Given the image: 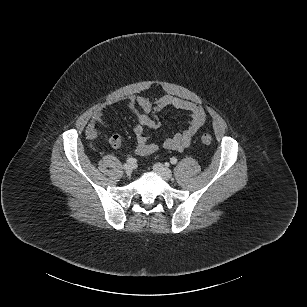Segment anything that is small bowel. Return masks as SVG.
<instances>
[{"label": "small bowel", "mask_w": 307, "mask_h": 307, "mask_svg": "<svg viewBox=\"0 0 307 307\" xmlns=\"http://www.w3.org/2000/svg\"><path fill=\"white\" fill-rule=\"evenodd\" d=\"M126 101L136 117L134 127L136 152L141 156L151 155L158 150V145L149 141L145 128L157 129L160 126L157 113L162 109L172 107L190 115L188 126L163 142V147L168 150L182 151L187 148L205 122V113L199 104L174 96L165 95L152 102L147 97L131 95L127 97ZM101 117V109L96 110L86 129L88 138L96 139L98 137L97 126L101 123Z\"/></svg>", "instance_id": "1"}]
</instances>
